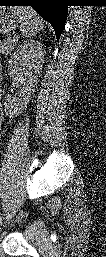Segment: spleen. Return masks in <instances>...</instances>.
<instances>
[{
  "instance_id": "3e777b00",
  "label": "spleen",
  "mask_w": 106,
  "mask_h": 257,
  "mask_svg": "<svg viewBox=\"0 0 106 257\" xmlns=\"http://www.w3.org/2000/svg\"><path fill=\"white\" fill-rule=\"evenodd\" d=\"M17 13L21 19V33L24 37L35 36L38 31L43 29V20L31 7H18Z\"/></svg>"
}]
</instances>
